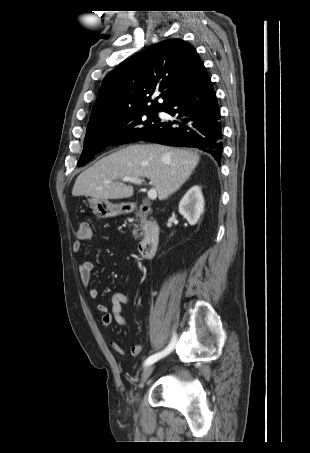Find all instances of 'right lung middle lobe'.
Segmentation results:
<instances>
[{"mask_svg": "<svg viewBox=\"0 0 310 453\" xmlns=\"http://www.w3.org/2000/svg\"><path fill=\"white\" fill-rule=\"evenodd\" d=\"M158 111L160 110L135 111L88 126L78 166L87 163L107 146L140 140L160 122Z\"/></svg>", "mask_w": 310, "mask_h": 453, "instance_id": "obj_1", "label": "right lung middle lobe"}]
</instances>
